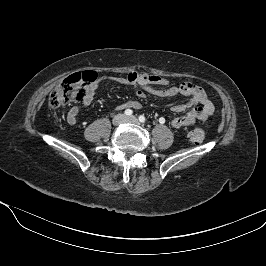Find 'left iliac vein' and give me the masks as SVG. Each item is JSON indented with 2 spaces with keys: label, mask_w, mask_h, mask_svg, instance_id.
I'll return each instance as SVG.
<instances>
[{
  "label": "left iliac vein",
  "mask_w": 266,
  "mask_h": 266,
  "mask_svg": "<svg viewBox=\"0 0 266 266\" xmlns=\"http://www.w3.org/2000/svg\"><path fill=\"white\" fill-rule=\"evenodd\" d=\"M126 121L131 122V123H137L138 119L135 116H130L126 119Z\"/></svg>",
  "instance_id": "4c4485c4"
}]
</instances>
